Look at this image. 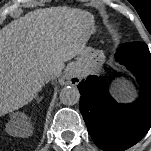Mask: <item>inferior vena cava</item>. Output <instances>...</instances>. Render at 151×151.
I'll use <instances>...</instances> for the list:
<instances>
[{
	"mask_svg": "<svg viewBox=\"0 0 151 151\" xmlns=\"http://www.w3.org/2000/svg\"><path fill=\"white\" fill-rule=\"evenodd\" d=\"M60 73V70L59 69H55L54 71H53V75H58Z\"/></svg>",
	"mask_w": 151,
	"mask_h": 151,
	"instance_id": "inferior-vena-cava-1",
	"label": "inferior vena cava"
}]
</instances>
